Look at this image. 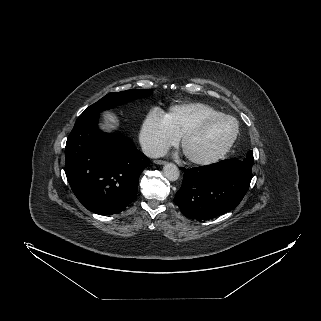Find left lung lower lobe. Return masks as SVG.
I'll use <instances>...</instances> for the list:
<instances>
[{
	"instance_id": "0a47b994",
	"label": "left lung lower lobe",
	"mask_w": 321,
	"mask_h": 321,
	"mask_svg": "<svg viewBox=\"0 0 321 321\" xmlns=\"http://www.w3.org/2000/svg\"><path fill=\"white\" fill-rule=\"evenodd\" d=\"M253 157L236 158L207 166L186 169L174 203L190 219L208 220L235 207L246 194L251 178Z\"/></svg>"
}]
</instances>
